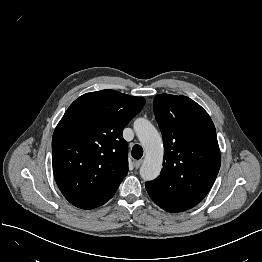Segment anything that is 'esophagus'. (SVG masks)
Returning a JSON list of instances; mask_svg holds the SVG:
<instances>
[{
	"label": "esophagus",
	"mask_w": 262,
	"mask_h": 262,
	"mask_svg": "<svg viewBox=\"0 0 262 262\" xmlns=\"http://www.w3.org/2000/svg\"><path fill=\"white\" fill-rule=\"evenodd\" d=\"M142 163H143V160H136V161L134 162V167H135L136 169H138V168L141 166Z\"/></svg>",
	"instance_id": "esophagus-1"
}]
</instances>
